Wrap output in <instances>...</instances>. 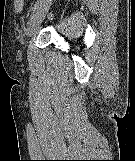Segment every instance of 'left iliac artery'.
<instances>
[{
  "label": "left iliac artery",
  "instance_id": "obj_1",
  "mask_svg": "<svg viewBox=\"0 0 135 161\" xmlns=\"http://www.w3.org/2000/svg\"><path fill=\"white\" fill-rule=\"evenodd\" d=\"M43 0H37L34 6L31 9V16L34 14L36 9L42 4Z\"/></svg>",
  "mask_w": 135,
  "mask_h": 161
}]
</instances>
